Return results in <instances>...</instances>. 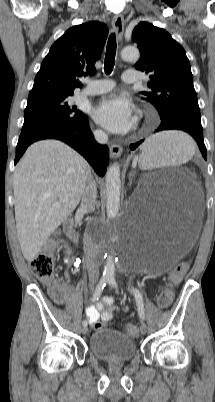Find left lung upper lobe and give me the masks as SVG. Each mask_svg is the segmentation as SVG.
I'll return each instance as SVG.
<instances>
[{"mask_svg": "<svg viewBox=\"0 0 215 402\" xmlns=\"http://www.w3.org/2000/svg\"><path fill=\"white\" fill-rule=\"evenodd\" d=\"M132 39L140 50L137 70L150 74L149 91L141 92L164 119L183 116L201 122L189 60L182 46L162 28L140 22Z\"/></svg>", "mask_w": 215, "mask_h": 402, "instance_id": "5c2ea615", "label": "left lung upper lobe"}]
</instances>
